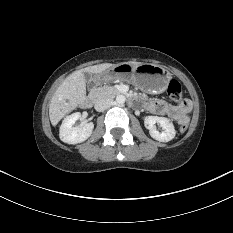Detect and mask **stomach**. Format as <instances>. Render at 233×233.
<instances>
[{
  "label": "stomach",
  "mask_w": 233,
  "mask_h": 233,
  "mask_svg": "<svg viewBox=\"0 0 233 233\" xmlns=\"http://www.w3.org/2000/svg\"><path fill=\"white\" fill-rule=\"evenodd\" d=\"M117 79L134 83L146 92L159 94L166 90L171 74L165 68L152 63H120L95 74L93 81L95 85H100Z\"/></svg>",
  "instance_id": "obj_1"
}]
</instances>
